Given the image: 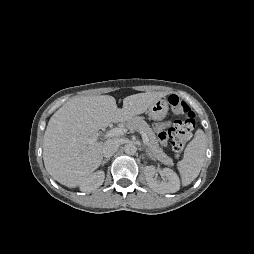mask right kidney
I'll list each match as a JSON object with an SVG mask.
<instances>
[{"label":"right kidney","mask_w":254,"mask_h":254,"mask_svg":"<svg viewBox=\"0 0 254 254\" xmlns=\"http://www.w3.org/2000/svg\"><path fill=\"white\" fill-rule=\"evenodd\" d=\"M104 178V171H97L91 174V176L80 185V189L85 192H91L103 184Z\"/></svg>","instance_id":"1"}]
</instances>
